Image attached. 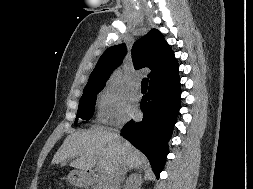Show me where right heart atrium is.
I'll return each mask as SVG.
<instances>
[{"mask_svg":"<svg viewBox=\"0 0 253 189\" xmlns=\"http://www.w3.org/2000/svg\"><path fill=\"white\" fill-rule=\"evenodd\" d=\"M123 96L113 88L104 89L97 99V120L101 124L120 123L125 118Z\"/></svg>","mask_w":253,"mask_h":189,"instance_id":"obj_1","label":"right heart atrium"}]
</instances>
